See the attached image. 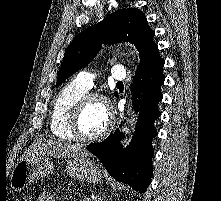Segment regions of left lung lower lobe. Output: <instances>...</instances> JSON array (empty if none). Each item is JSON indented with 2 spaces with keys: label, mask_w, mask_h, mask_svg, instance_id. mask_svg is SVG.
<instances>
[{
  "label": "left lung lower lobe",
  "mask_w": 221,
  "mask_h": 201,
  "mask_svg": "<svg viewBox=\"0 0 221 201\" xmlns=\"http://www.w3.org/2000/svg\"><path fill=\"white\" fill-rule=\"evenodd\" d=\"M164 63V59L157 56L135 75L133 106L140 114L130 145L122 148L119 138L123 134L116 130L104 141L86 147L113 178L130 185L139 193L145 192L152 178V140L157 135L154 122L160 117L157 105L163 97L160 88L165 80L162 72Z\"/></svg>",
  "instance_id": "1"
}]
</instances>
